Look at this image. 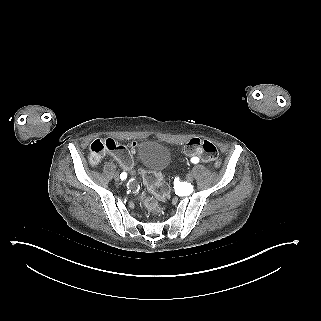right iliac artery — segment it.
I'll use <instances>...</instances> for the list:
<instances>
[{
    "instance_id": "obj_1",
    "label": "right iliac artery",
    "mask_w": 321,
    "mask_h": 321,
    "mask_svg": "<svg viewBox=\"0 0 321 321\" xmlns=\"http://www.w3.org/2000/svg\"><path fill=\"white\" fill-rule=\"evenodd\" d=\"M126 177H127V174H126V173H121V174H120L121 180H125Z\"/></svg>"
}]
</instances>
